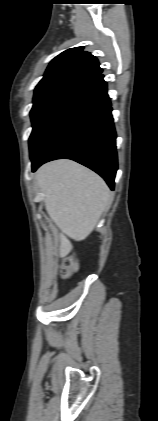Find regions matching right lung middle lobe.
Masks as SVG:
<instances>
[{"label":"right lung middle lobe","mask_w":158,"mask_h":421,"mask_svg":"<svg viewBox=\"0 0 158 421\" xmlns=\"http://www.w3.org/2000/svg\"><path fill=\"white\" fill-rule=\"evenodd\" d=\"M79 88V85L65 83L35 91L30 112L33 126L29 138L30 155L37 149L58 111Z\"/></svg>","instance_id":"obj_1"}]
</instances>
